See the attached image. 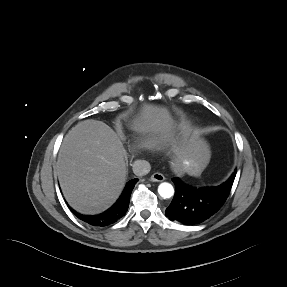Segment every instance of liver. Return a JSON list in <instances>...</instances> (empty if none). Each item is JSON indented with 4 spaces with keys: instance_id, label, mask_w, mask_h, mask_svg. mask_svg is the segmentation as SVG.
I'll use <instances>...</instances> for the list:
<instances>
[{
    "instance_id": "1",
    "label": "liver",
    "mask_w": 287,
    "mask_h": 287,
    "mask_svg": "<svg viewBox=\"0 0 287 287\" xmlns=\"http://www.w3.org/2000/svg\"><path fill=\"white\" fill-rule=\"evenodd\" d=\"M130 129L141 135L138 146H169L171 167L178 175H196L209 163L207 144L187 132L176 135V125L165 107L145 104ZM63 195L83 214L109 208L123 190L127 176V152L117 133L101 121L78 123L64 138L57 160Z\"/></svg>"
}]
</instances>
